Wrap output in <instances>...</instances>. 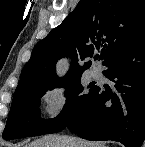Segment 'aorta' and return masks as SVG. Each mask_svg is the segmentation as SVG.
Instances as JSON below:
<instances>
[{
    "label": "aorta",
    "mask_w": 145,
    "mask_h": 147,
    "mask_svg": "<svg viewBox=\"0 0 145 147\" xmlns=\"http://www.w3.org/2000/svg\"><path fill=\"white\" fill-rule=\"evenodd\" d=\"M64 70V65L63 64H60L59 65V72L62 73Z\"/></svg>",
    "instance_id": "1"
}]
</instances>
